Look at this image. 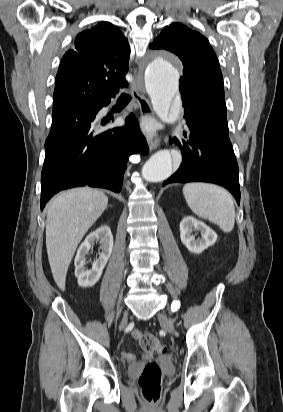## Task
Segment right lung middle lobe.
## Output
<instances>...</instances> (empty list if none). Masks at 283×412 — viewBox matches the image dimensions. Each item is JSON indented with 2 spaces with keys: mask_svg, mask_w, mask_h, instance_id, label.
<instances>
[{
  "mask_svg": "<svg viewBox=\"0 0 283 412\" xmlns=\"http://www.w3.org/2000/svg\"><path fill=\"white\" fill-rule=\"evenodd\" d=\"M92 104H94V103L88 102V101L78 102L75 105H73L71 108H69L65 111L59 112L57 114H53L52 115L53 121H55V120H60V121L64 120L67 116L77 114L80 111H82L83 109L88 108Z\"/></svg>",
  "mask_w": 283,
  "mask_h": 412,
  "instance_id": "obj_1",
  "label": "right lung middle lobe"
}]
</instances>
